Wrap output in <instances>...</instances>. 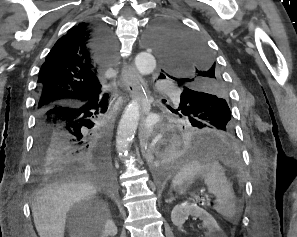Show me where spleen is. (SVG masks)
Returning <instances> with one entry per match:
<instances>
[{
	"label": "spleen",
	"mask_w": 297,
	"mask_h": 237,
	"mask_svg": "<svg viewBox=\"0 0 297 237\" xmlns=\"http://www.w3.org/2000/svg\"><path fill=\"white\" fill-rule=\"evenodd\" d=\"M202 177L208 192L216 196L214 209L228 220L236 215L235 195L222 166L209 158L193 159L187 162L173 179V186L193 182Z\"/></svg>",
	"instance_id": "spleen-1"
}]
</instances>
